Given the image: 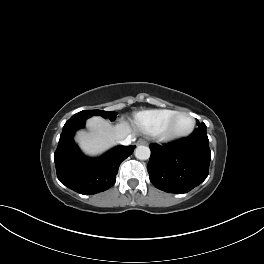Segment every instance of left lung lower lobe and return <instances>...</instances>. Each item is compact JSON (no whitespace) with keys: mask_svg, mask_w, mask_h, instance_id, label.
Instances as JSON below:
<instances>
[{"mask_svg":"<svg viewBox=\"0 0 264 264\" xmlns=\"http://www.w3.org/2000/svg\"><path fill=\"white\" fill-rule=\"evenodd\" d=\"M147 165L151 183L167 193H187L208 176L211 152L206 128L198 127L188 138L151 144Z\"/></svg>","mask_w":264,"mask_h":264,"instance_id":"obj_1","label":"left lung lower lobe"}]
</instances>
